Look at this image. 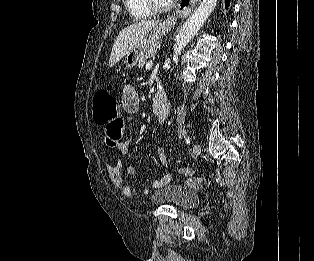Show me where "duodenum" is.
Here are the masks:
<instances>
[{
    "label": "duodenum",
    "instance_id": "obj_1",
    "mask_svg": "<svg viewBox=\"0 0 314 261\" xmlns=\"http://www.w3.org/2000/svg\"><path fill=\"white\" fill-rule=\"evenodd\" d=\"M169 108V100L166 94L159 90L152 100V112L157 119L165 116Z\"/></svg>",
    "mask_w": 314,
    "mask_h": 261
}]
</instances>
